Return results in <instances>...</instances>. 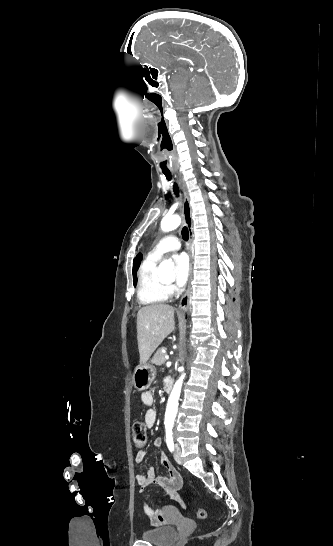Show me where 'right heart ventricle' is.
Here are the masks:
<instances>
[{
	"instance_id": "1",
	"label": "right heart ventricle",
	"mask_w": 333,
	"mask_h": 546,
	"mask_svg": "<svg viewBox=\"0 0 333 546\" xmlns=\"http://www.w3.org/2000/svg\"><path fill=\"white\" fill-rule=\"evenodd\" d=\"M157 260L147 257L138 273L137 297L142 305L163 303L169 298L167 287L155 276Z\"/></svg>"
}]
</instances>
